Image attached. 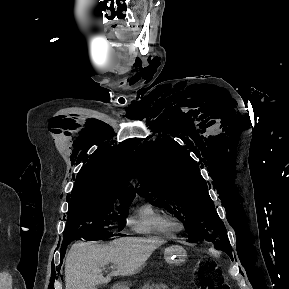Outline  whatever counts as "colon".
Masks as SVG:
<instances>
[{"label":"colon","mask_w":289,"mask_h":289,"mask_svg":"<svg viewBox=\"0 0 289 289\" xmlns=\"http://www.w3.org/2000/svg\"><path fill=\"white\" fill-rule=\"evenodd\" d=\"M194 282L199 289H229V285L223 281L213 263L202 264L194 275Z\"/></svg>","instance_id":"colon-1"}]
</instances>
